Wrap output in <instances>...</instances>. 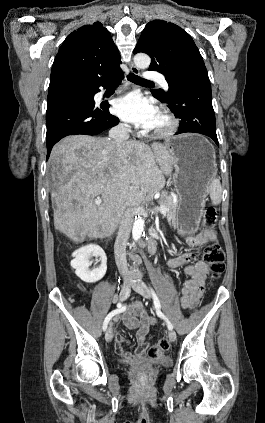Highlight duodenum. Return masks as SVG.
I'll use <instances>...</instances> for the list:
<instances>
[{"mask_svg": "<svg viewBox=\"0 0 265 423\" xmlns=\"http://www.w3.org/2000/svg\"><path fill=\"white\" fill-rule=\"evenodd\" d=\"M147 249L149 254H154L156 251V239L153 234H151L147 241Z\"/></svg>", "mask_w": 265, "mask_h": 423, "instance_id": "1", "label": "duodenum"}]
</instances>
